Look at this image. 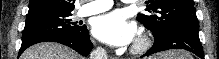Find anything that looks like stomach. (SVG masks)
Instances as JSON below:
<instances>
[{
  "mask_svg": "<svg viewBox=\"0 0 219 59\" xmlns=\"http://www.w3.org/2000/svg\"><path fill=\"white\" fill-rule=\"evenodd\" d=\"M173 54H164V55H160L158 57V59H170V56H172Z\"/></svg>",
  "mask_w": 219,
  "mask_h": 59,
  "instance_id": "0dacf381",
  "label": "stomach"
}]
</instances>
